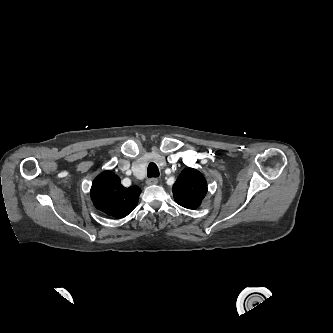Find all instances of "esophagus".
I'll return each mask as SVG.
<instances>
[{
    "instance_id": "obj_1",
    "label": "esophagus",
    "mask_w": 333,
    "mask_h": 333,
    "mask_svg": "<svg viewBox=\"0 0 333 333\" xmlns=\"http://www.w3.org/2000/svg\"><path fill=\"white\" fill-rule=\"evenodd\" d=\"M157 183H158V179L155 178V177H152V178L147 179V184H148V185H155V184H157Z\"/></svg>"
}]
</instances>
